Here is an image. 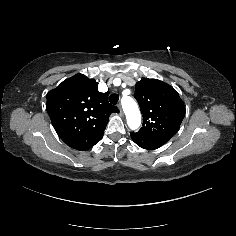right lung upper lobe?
I'll list each match as a JSON object with an SVG mask.
<instances>
[{
  "instance_id": "cb5924a9",
  "label": "right lung upper lobe",
  "mask_w": 236,
  "mask_h": 236,
  "mask_svg": "<svg viewBox=\"0 0 236 236\" xmlns=\"http://www.w3.org/2000/svg\"><path fill=\"white\" fill-rule=\"evenodd\" d=\"M98 83L83 74L64 80L47 94L46 109L59 137L71 148L88 150L98 143L116 106Z\"/></svg>"
}]
</instances>
